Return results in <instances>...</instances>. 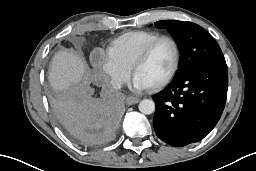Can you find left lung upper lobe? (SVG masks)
<instances>
[{"mask_svg": "<svg viewBox=\"0 0 256 171\" xmlns=\"http://www.w3.org/2000/svg\"><path fill=\"white\" fill-rule=\"evenodd\" d=\"M155 26L166 28L178 44L181 56L176 76L198 65L225 62L217 42L201 26L178 20H161Z\"/></svg>", "mask_w": 256, "mask_h": 171, "instance_id": "left-lung-upper-lobe-1", "label": "left lung upper lobe"}]
</instances>
